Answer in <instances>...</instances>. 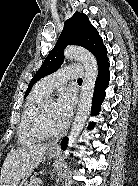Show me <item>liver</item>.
I'll return each instance as SVG.
<instances>
[{
    "instance_id": "6515ba94",
    "label": "liver",
    "mask_w": 138,
    "mask_h": 186,
    "mask_svg": "<svg viewBox=\"0 0 138 186\" xmlns=\"http://www.w3.org/2000/svg\"><path fill=\"white\" fill-rule=\"evenodd\" d=\"M47 144L11 149L1 169L0 186H19L43 160Z\"/></svg>"
}]
</instances>
